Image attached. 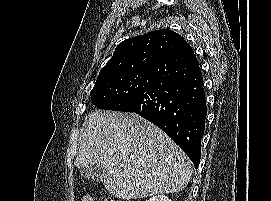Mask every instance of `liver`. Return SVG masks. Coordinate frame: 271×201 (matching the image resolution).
<instances>
[{
    "instance_id": "1",
    "label": "liver",
    "mask_w": 271,
    "mask_h": 201,
    "mask_svg": "<svg viewBox=\"0 0 271 201\" xmlns=\"http://www.w3.org/2000/svg\"><path fill=\"white\" fill-rule=\"evenodd\" d=\"M101 164L103 184L123 200L182 191L191 162L160 128L134 113L96 110L83 123L74 165Z\"/></svg>"
}]
</instances>
